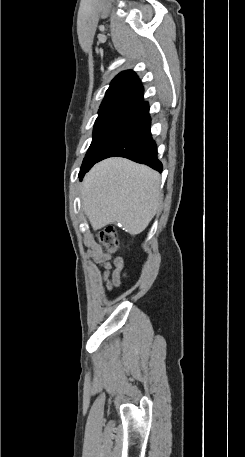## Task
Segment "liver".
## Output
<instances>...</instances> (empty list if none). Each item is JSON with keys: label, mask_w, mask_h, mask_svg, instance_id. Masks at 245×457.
Wrapping results in <instances>:
<instances>
[{"label": "liver", "mask_w": 245, "mask_h": 457, "mask_svg": "<svg viewBox=\"0 0 245 457\" xmlns=\"http://www.w3.org/2000/svg\"><path fill=\"white\" fill-rule=\"evenodd\" d=\"M159 172L128 158H106L87 172L82 206L93 231L110 220L121 222L130 235H140L152 220L161 194Z\"/></svg>", "instance_id": "6515ba94"}]
</instances>
